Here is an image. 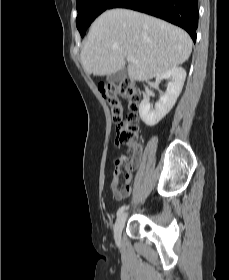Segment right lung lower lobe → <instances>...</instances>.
<instances>
[{"instance_id":"98d812e1","label":"right lung lower lobe","mask_w":229,"mask_h":280,"mask_svg":"<svg viewBox=\"0 0 229 280\" xmlns=\"http://www.w3.org/2000/svg\"><path fill=\"white\" fill-rule=\"evenodd\" d=\"M111 8L132 9L164 19L185 29L196 40L197 0H115L108 9Z\"/></svg>"}]
</instances>
